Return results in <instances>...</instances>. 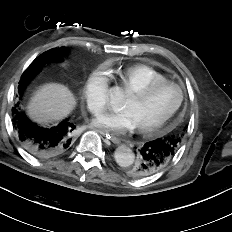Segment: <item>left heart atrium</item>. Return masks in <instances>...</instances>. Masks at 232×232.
<instances>
[{
    "label": "left heart atrium",
    "mask_w": 232,
    "mask_h": 232,
    "mask_svg": "<svg viewBox=\"0 0 232 232\" xmlns=\"http://www.w3.org/2000/svg\"><path fill=\"white\" fill-rule=\"evenodd\" d=\"M92 124L115 136L124 135L137 127L133 115L126 110L102 112L92 120Z\"/></svg>",
    "instance_id": "left-heart-atrium-1"
}]
</instances>
